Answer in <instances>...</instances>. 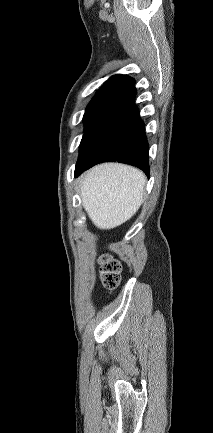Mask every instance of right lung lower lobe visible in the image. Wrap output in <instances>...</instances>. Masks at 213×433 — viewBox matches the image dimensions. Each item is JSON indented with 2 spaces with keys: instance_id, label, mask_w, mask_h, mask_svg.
Returning a JSON list of instances; mask_svg holds the SVG:
<instances>
[{
  "instance_id": "obj_1",
  "label": "right lung lower lobe",
  "mask_w": 213,
  "mask_h": 433,
  "mask_svg": "<svg viewBox=\"0 0 213 433\" xmlns=\"http://www.w3.org/2000/svg\"><path fill=\"white\" fill-rule=\"evenodd\" d=\"M135 95L133 86L121 92L90 123L80 144L75 176L107 161L134 165L149 176V146Z\"/></svg>"
}]
</instances>
